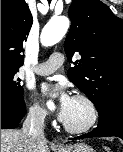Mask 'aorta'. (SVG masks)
<instances>
[{
  "instance_id": "obj_1",
  "label": "aorta",
  "mask_w": 123,
  "mask_h": 152,
  "mask_svg": "<svg viewBox=\"0 0 123 152\" xmlns=\"http://www.w3.org/2000/svg\"><path fill=\"white\" fill-rule=\"evenodd\" d=\"M69 28V20L65 16L52 18L43 28L41 33V43L44 46H52L59 42ZM52 106L51 102L48 103Z\"/></svg>"
}]
</instances>
